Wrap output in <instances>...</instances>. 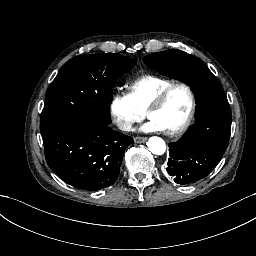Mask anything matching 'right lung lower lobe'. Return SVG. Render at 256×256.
Masks as SVG:
<instances>
[{
    "label": "right lung lower lobe",
    "instance_id": "98d812e1",
    "mask_svg": "<svg viewBox=\"0 0 256 256\" xmlns=\"http://www.w3.org/2000/svg\"><path fill=\"white\" fill-rule=\"evenodd\" d=\"M43 136L49 167L64 182L79 189L100 190L112 185L125 149L133 139L108 125L85 124L80 131L54 128Z\"/></svg>",
    "mask_w": 256,
    "mask_h": 256
}]
</instances>
